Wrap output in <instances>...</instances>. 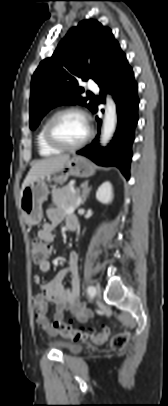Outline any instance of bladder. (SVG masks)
I'll return each mask as SVG.
<instances>
[{
	"instance_id": "31cf9c89",
	"label": "bladder",
	"mask_w": 168,
	"mask_h": 406,
	"mask_svg": "<svg viewBox=\"0 0 168 406\" xmlns=\"http://www.w3.org/2000/svg\"><path fill=\"white\" fill-rule=\"evenodd\" d=\"M68 354H78L82 351V347L79 345H74V344H70V345H66L63 348Z\"/></svg>"
}]
</instances>
